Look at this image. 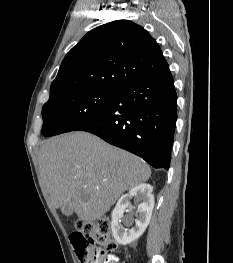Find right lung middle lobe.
<instances>
[{"label":"right lung middle lobe","mask_w":233,"mask_h":263,"mask_svg":"<svg viewBox=\"0 0 233 263\" xmlns=\"http://www.w3.org/2000/svg\"><path fill=\"white\" fill-rule=\"evenodd\" d=\"M117 90L78 89L49 98L42 109L44 136L69 132L101 114L112 102Z\"/></svg>","instance_id":"obj_1"}]
</instances>
